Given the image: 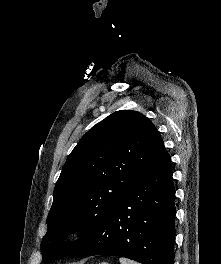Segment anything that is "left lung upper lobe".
<instances>
[{
  "label": "left lung upper lobe",
  "instance_id": "left-lung-upper-lobe-1",
  "mask_svg": "<svg viewBox=\"0 0 221 264\" xmlns=\"http://www.w3.org/2000/svg\"><path fill=\"white\" fill-rule=\"evenodd\" d=\"M164 142L143 114L120 110L92 127L68 156L53 194L43 262L84 244L124 194L159 160ZM78 229L82 237L65 241Z\"/></svg>",
  "mask_w": 221,
  "mask_h": 264
}]
</instances>
